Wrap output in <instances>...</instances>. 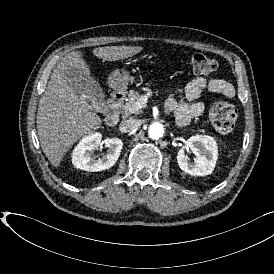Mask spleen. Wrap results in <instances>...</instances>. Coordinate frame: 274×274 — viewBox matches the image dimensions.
I'll return each mask as SVG.
<instances>
[{"instance_id": "3e777b00", "label": "spleen", "mask_w": 274, "mask_h": 274, "mask_svg": "<svg viewBox=\"0 0 274 274\" xmlns=\"http://www.w3.org/2000/svg\"><path fill=\"white\" fill-rule=\"evenodd\" d=\"M237 152H238V147H237V146H234L233 150L231 151V154H232L233 156H235V155L237 154Z\"/></svg>"}]
</instances>
